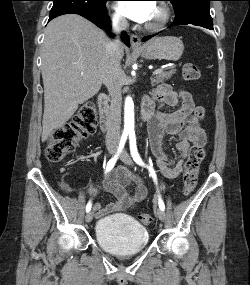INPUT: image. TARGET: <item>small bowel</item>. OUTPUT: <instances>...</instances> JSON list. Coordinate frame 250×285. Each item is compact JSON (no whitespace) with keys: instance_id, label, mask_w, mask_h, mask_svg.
Wrapping results in <instances>:
<instances>
[{"instance_id":"1","label":"small bowel","mask_w":250,"mask_h":285,"mask_svg":"<svg viewBox=\"0 0 250 285\" xmlns=\"http://www.w3.org/2000/svg\"><path fill=\"white\" fill-rule=\"evenodd\" d=\"M154 101H157L162 108L174 107L179 103L181 105L173 112L154 111ZM145 103L152 109L148 135L157 166L166 178H176L183 171L184 159L190 146L204 145L206 142L205 132L200 125L204 116V109L195 105L187 90H173L169 85H160L151 97L145 99ZM166 135H177L179 137L176 149L180 157L174 166H169V157L163 148V139ZM132 182H135L136 186L132 191H128L127 187ZM62 188L66 192L71 190L68 184H63ZM106 188L116 197V201L106 207H101L99 203H95L93 208L97 217L132 208L145 199L148 192L143 180L123 166L116 168L107 178Z\"/></svg>"}]
</instances>
